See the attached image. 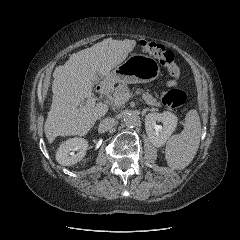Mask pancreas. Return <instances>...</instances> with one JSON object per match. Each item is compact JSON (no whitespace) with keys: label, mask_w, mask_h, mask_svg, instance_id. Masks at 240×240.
<instances>
[{"label":"pancreas","mask_w":240,"mask_h":240,"mask_svg":"<svg viewBox=\"0 0 240 240\" xmlns=\"http://www.w3.org/2000/svg\"><path fill=\"white\" fill-rule=\"evenodd\" d=\"M126 93H129V88L127 84L122 83L119 84L115 89H114V98H115V104L117 106H122L124 105L127 101L123 99H117V98H122ZM142 99L145 101L146 104L155 106V107H160L161 104L157 102V100L149 93L143 92L142 93Z\"/></svg>","instance_id":"pancreas-1"}]
</instances>
